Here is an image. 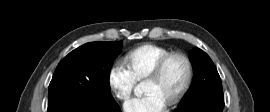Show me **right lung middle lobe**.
<instances>
[{
  "label": "right lung middle lobe",
  "instance_id": "right-lung-middle-lobe-1",
  "mask_svg": "<svg viewBox=\"0 0 270 112\" xmlns=\"http://www.w3.org/2000/svg\"><path fill=\"white\" fill-rule=\"evenodd\" d=\"M120 42L86 43L65 56L49 85L48 103L84 94L102 104L115 102L110 94L109 75Z\"/></svg>",
  "mask_w": 270,
  "mask_h": 112
}]
</instances>
